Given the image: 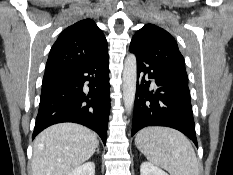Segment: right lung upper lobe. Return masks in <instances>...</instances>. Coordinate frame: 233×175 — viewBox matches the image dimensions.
Segmentation results:
<instances>
[{
	"label": "right lung upper lobe",
	"instance_id": "right-lung-upper-lobe-1",
	"mask_svg": "<svg viewBox=\"0 0 233 175\" xmlns=\"http://www.w3.org/2000/svg\"><path fill=\"white\" fill-rule=\"evenodd\" d=\"M106 53L107 40L103 32L91 19L81 20L59 35L50 50L44 77L97 59Z\"/></svg>",
	"mask_w": 233,
	"mask_h": 175
}]
</instances>
